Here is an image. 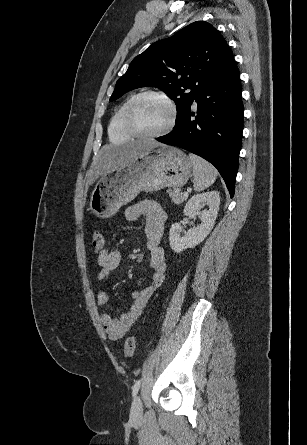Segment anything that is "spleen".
Wrapping results in <instances>:
<instances>
[{"label":"spleen","mask_w":307,"mask_h":445,"mask_svg":"<svg viewBox=\"0 0 307 445\" xmlns=\"http://www.w3.org/2000/svg\"><path fill=\"white\" fill-rule=\"evenodd\" d=\"M189 158L193 164L194 190H198V192L205 190L216 180L218 170L210 162H207L201 156H197V154H189Z\"/></svg>","instance_id":"1"}]
</instances>
